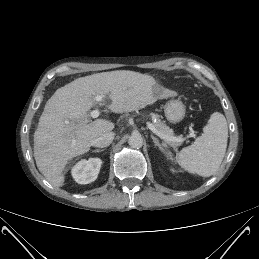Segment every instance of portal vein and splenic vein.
<instances>
[{
  "label": "portal vein and splenic vein",
  "instance_id": "obj_1",
  "mask_svg": "<svg viewBox=\"0 0 259 259\" xmlns=\"http://www.w3.org/2000/svg\"><path fill=\"white\" fill-rule=\"evenodd\" d=\"M103 97H104L103 95H96L94 99H95L96 102H101L103 100ZM90 115H91L92 118H97L100 115V112L98 110H92ZM147 126L155 135H157L158 137H160L163 140H166V141H182V139H180V138L168 137V136L162 134L150 122H147Z\"/></svg>",
  "mask_w": 259,
  "mask_h": 259
}]
</instances>
